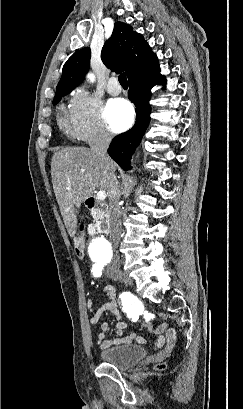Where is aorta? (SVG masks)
I'll use <instances>...</instances> for the list:
<instances>
[{"mask_svg": "<svg viewBox=\"0 0 243 409\" xmlns=\"http://www.w3.org/2000/svg\"><path fill=\"white\" fill-rule=\"evenodd\" d=\"M92 82L94 81V75L88 74L87 76ZM108 248V242L102 235H97L93 238L89 245V252L92 257H103Z\"/></svg>", "mask_w": 243, "mask_h": 409, "instance_id": "aorta-1", "label": "aorta"}]
</instances>
